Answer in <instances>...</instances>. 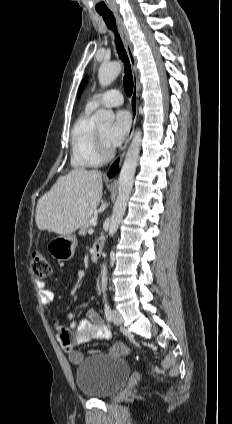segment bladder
<instances>
[{
    "mask_svg": "<svg viewBox=\"0 0 232 424\" xmlns=\"http://www.w3.org/2000/svg\"><path fill=\"white\" fill-rule=\"evenodd\" d=\"M130 374V367L124 359L94 354L80 363L75 378L83 396L105 399L115 395L125 385Z\"/></svg>",
    "mask_w": 232,
    "mask_h": 424,
    "instance_id": "obj_1",
    "label": "bladder"
}]
</instances>
